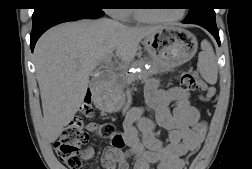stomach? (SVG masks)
I'll return each mask as SVG.
<instances>
[{
  "label": "stomach",
  "mask_w": 252,
  "mask_h": 169,
  "mask_svg": "<svg viewBox=\"0 0 252 169\" xmlns=\"http://www.w3.org/2000/svg\"><path fill=\"white\" fill-rule=\"evenodd\" d=\"M142 44L162 72L171 71L189 61L198 48L195 36L177 26L162 27L146 36ZM124 102L122 90L110 88L102 97L101 106L106 111L117 112L123 107Z\"/></svg>",
  "instance_id": "1"
}]
</instances>
